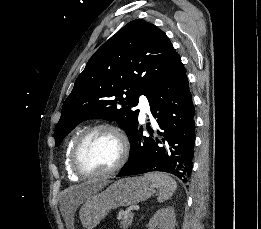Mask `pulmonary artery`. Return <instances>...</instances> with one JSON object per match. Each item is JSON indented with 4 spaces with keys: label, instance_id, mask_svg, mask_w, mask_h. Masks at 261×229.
Here are the masks:
<instances>
[{
    "label": "pulmonary artery",
    "instance_id": "pulmonary-artery-1",
    "mask_svg": "<svg viewBox=\"0 0 261 229\" xmlns=\"http://www.w3.org/2000/svg\"><path fill=\"white\" fill-rule=\"evenodd\" d=\"M149 105H151V100H148L147 96H141V100L139 101V119L141 122H144L148 115H150V108Z\"/></svg>",
    "mask_w": 261,
    "mask_h": 229
}]
</instances>
